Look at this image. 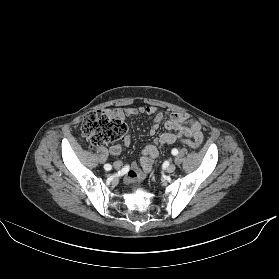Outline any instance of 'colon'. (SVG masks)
Here are the masks:
<instances>
[{
  "label": "colon",
  "instance_id": "5ec220e1",
  "mask_svg": "<svg viewBox=\"0 0 279 279\" xmlns=\"http://www.w3.org/2000/svg\"><path fill=\"white\" fill-rule=\"evenodd\" d=\"M126 125L119 116L109 110H97L87 113L82 121V137L92 146L110 143L122 138L126 133ZM180 142L197 149L200 144L190 139Z\"/></svg>",
  "mask_w": 279,
  "mask_h": 279
}]
</instances>
